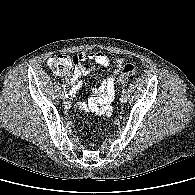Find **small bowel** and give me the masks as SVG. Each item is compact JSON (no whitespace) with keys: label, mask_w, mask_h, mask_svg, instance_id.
<instances>
[{"label":"small bowel","mask_w":195,"mask_h":195,"mask_svg":"<svg viewBox=\"0 0 195 195\" xmlns=\"http://www.w3.org/2000/svg\"><path fill=\"white\" fill-rule=\"evenodd\" d=\"M91 60L93 65L86 67L83 62ZM74 72L69 80L70 93L73 95L81 86V76L87 75L98 66L107 69L108 73L100 86L93 89V95L87 103H78L74 109L76 113L91 112L94 116H108L112 112L111 103L115 97V76L119 74L124 64L121 56L113 57L102 52H82L72 58ZM112 63H116L117 69L110 70Z\"/></svg>","instance_id":"small-bowel-1"}]
</instances>
